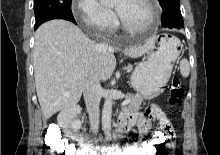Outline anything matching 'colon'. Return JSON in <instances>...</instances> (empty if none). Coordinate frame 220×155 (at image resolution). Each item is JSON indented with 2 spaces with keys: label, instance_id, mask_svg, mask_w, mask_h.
<instances>
[{
  "label": "colon",
  "instance_id": "1",
  "mask_svg": "<svg viewBox=\"0 0 220 155\" xmlns=\"http://www.w3.org/2000/svg\"><path fill=\"white\" fill-rule=\"evenodd\" d=\"M169 103L172 106H179L182 104V99L184 96V89L182 87L181 81L178 77H173L169 85ZM153 130L151 131V139L148 142H138V147L140 151H145V147H149L148 155H153L154 147L157 144H167V135H164V129H158V125H153ZM49 138L51 143L46 146V151L48 155H80L79 152H75V148H78V143H65L58 130L54 129L49 133ZM174 145H164L163 148L158 149L159 155H174L173 149Z\"/></svg>",
  "mask_w": 220,
  "mask_h": 155
}]
</instances>
